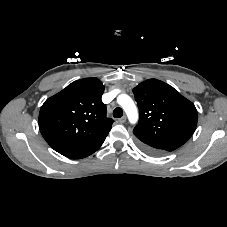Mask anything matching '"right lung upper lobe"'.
Masks as SVG:
<instances>
[{"label":"right lung upper lobe","mask_w":227,"mask_h":227,"mask_svg":"<svg viewBox=\"0 0 227 227\" xmlns=\"http://www.w3.org/2000/svg\"><path fill=\"white\" fill-rule=\"evenodd\" d=\"M103 92L99 79L84 78L44 102L39 127L55 151L71 159H81L100 148L113 123L106 117V105L101 100Z\"/></svg>","instance_id":"1"}]
</instances>
